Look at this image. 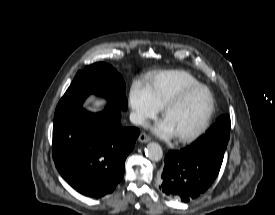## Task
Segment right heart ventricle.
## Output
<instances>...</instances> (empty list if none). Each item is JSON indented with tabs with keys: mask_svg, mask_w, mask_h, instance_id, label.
Wrapping results in <instances>:
<instances>
[{
	"mask_svg": "<svg viewBox=\"0 0 275 215\" xmlns=\"http://www.w3.org/2000/svg\"><path fill=\"white\" fill-rule=\"evenodd\" d=\"M198 83L193 75L184 70L156 71L146 78V87L159 109L181 89Z\"/></svg>",
	"mask_w": 275,
	"mask_h": 215,
	"instance_id": "obj_1",
	"label": "right heart ventricle"
}]
</instances>
